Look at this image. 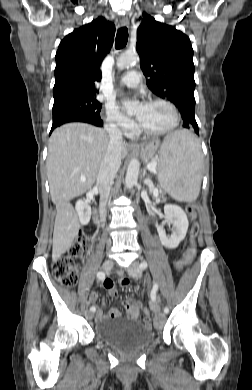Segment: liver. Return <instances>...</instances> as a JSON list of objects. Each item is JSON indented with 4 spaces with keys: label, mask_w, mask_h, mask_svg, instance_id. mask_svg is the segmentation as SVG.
<instances>
[{
    "label": "liver",
    "mask_w": 252,
    "mask_h": 390,
    "mask_svg": "<svg viewBox=\"0 0 252 390\" xmlns=\"http://www.w3.org/2000/svg\"><path fill=\"white\" fill-rule=\"evenodd\" d=\"M108 143L105 130L85 123L65 124L56 128L49 139L47 177L57 210L52 249L54 261L70 249L80 229L77 214L69 201L92 188ZM127 153L123 146L121 158Z\"/></svg>",
    "instance_id": "6515ba94"
}]
</instances>
